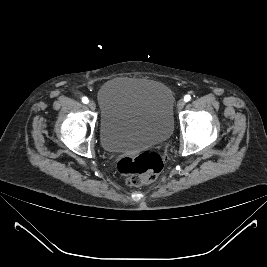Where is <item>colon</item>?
Segmentation results:
<instances>
[{"instance_id":"1","label":"colon","mask_w":267,"mask_h":267,"mask_svg":"<svg viewBox=\"0 0 267 267\" xmlns=\"http://www.w3.org/2000/svg\"><path fill=\"white\" fill-rule=\"evenodd\" d=\"M165 164V157L159 153L146 151L138 156H125L117 163V170L128 184L140 186L153 182Z\"/></svg>"}]
</instances>
